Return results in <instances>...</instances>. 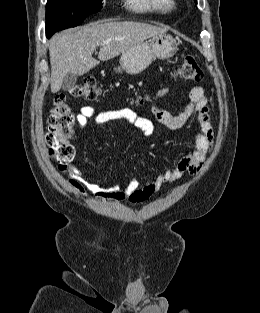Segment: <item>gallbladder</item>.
Instances as JSON below:
<instances>
[{
    "label": "gallbladder",
    "mask_w": 260,
    "mask_h": 313,
    "mask_svg": "<svg viewBox=\"0 0 260 313\" xmlns=\"http://www.w3.org/2000/svg\"><path fill=\"white\" fill-rule=\"evenodd\" d=\"M76 81H77V75L73 73H68L62 81L61 88L64 91H70L75 86Z\"/></svg>",
    "instance_id": "bac80fb5"
}]
</instances>
